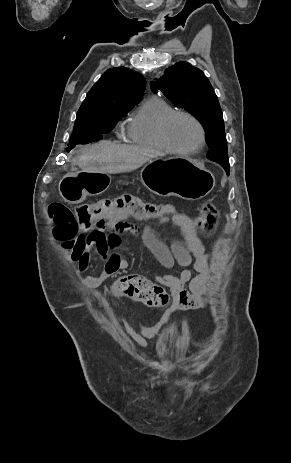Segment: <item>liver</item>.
<instances>
[{
  "mask_svg": "<svg viewBox=\"0 0 291 463\" xmlns=\"http://www.w3.org/2000/svg\"><path fill=\"white\" fill-rule=\"evenodd\" d=\"M163 155L155 149L101 141L84 147L75 164L83 171L112 174L135 170Z\"/></svg>",
  "mask_w": 291,
  "mask_h": 463,
  "instance_id": "1",
  "label": "liver"
}]
</instances>
